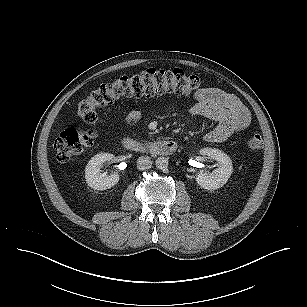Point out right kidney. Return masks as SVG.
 <instances>
[{"label": "right kidney", "mask_w": 307, "mask_h": 307, "mask_svg": "<svg viewBox=\"0 0 307 307\" xmlns=\"http://www.w3.org/2000/svg\"><path fill=\"white\" fill-rule=\"evenodd\" d=\"M114 158L111 153H99L91 158L85 167V179L88 186L95 190H106L119 182L117 173L106 175L102 173L101 165Z\"/></svg>", "instance_id": "1"}]
</instances>
